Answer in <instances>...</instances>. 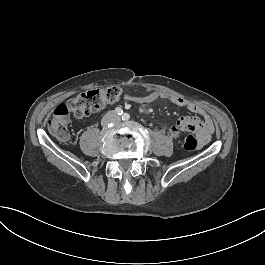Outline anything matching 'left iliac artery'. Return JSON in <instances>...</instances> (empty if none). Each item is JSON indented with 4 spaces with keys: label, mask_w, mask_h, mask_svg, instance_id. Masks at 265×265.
Returning a JSON list of instances; mask_svg holds the SVG:
<instances>
[{
    "label": "left iliac artery",
    "mask_w": 265,
    "mask_h": 265,
    "mask_svg": "<svg viewBox=\"0 0 265 265\" xmlns=\"http://www.w3.org/2000/svg\"><path fill=\"white\" fill-rule=\"evenodd\" d=\"M130 119V115L128 113H124L122 116V120L128 121Z\"/></svg>",
    "instance_id": "obj_1"
}]
</instances>
